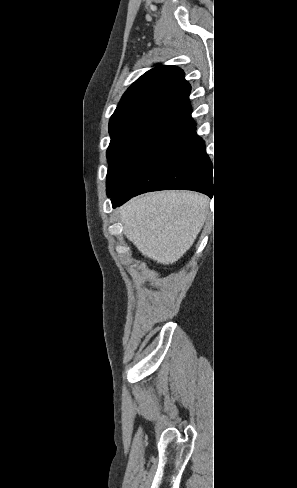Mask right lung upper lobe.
<instances>
[{"label": "right lung upper lobe", "instance_id": "1", "mask_svg": "<svg viewBox=\"0 0 297 488\" xmlns=\"http://www.w3.org/2000/svg\"><path fill=\"white\" fill-rule=\"evenodd\" d=\"M190 84L175 66L158 65L124 93L110 118L112 137L143 130L178 132L193 123Z\"/></svg>", "mask_w": 297, "mask_h": 488}]
</instances>
